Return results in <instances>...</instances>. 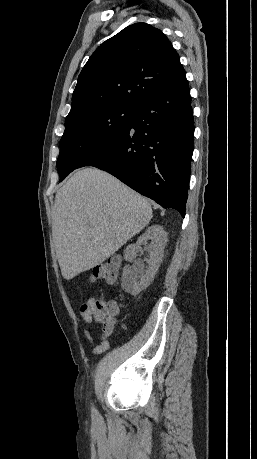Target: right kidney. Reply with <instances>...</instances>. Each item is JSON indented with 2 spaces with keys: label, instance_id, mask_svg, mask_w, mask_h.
Returning <instances> with one entry per match:
<instances>
[{
  "label": "right kidney",
  "instance_id": "ca27d5eb",
  "mask_svg": "<svg viewBox=\"0 0 257 459\" xmlns=\"http://www.w3.org/2000/svg\"><path fill=\"white\" fill-rule=\"evenodd\" d=\"M149 240L150 255L147 260V270H144L142 264H138L133 270L129 265L123 269L122 289L134 296L146 289L153 281L162 262L164 247L167 243V233L162 226L152 225L138 238L136 244L127 246L124 251L125 260L132 262L140 246L147 245Z\"/></svg>",
  "mask_w": 257,
  "mask_h": 459
}]
</instances>
